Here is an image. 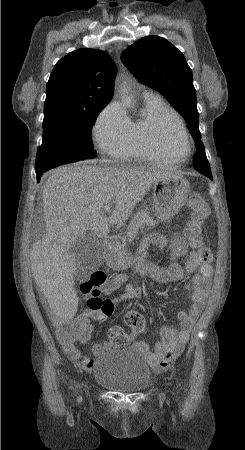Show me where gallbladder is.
<instances>
[{
  "mask_svg": "<svg viewBox=\"0 0 245 450\" xmlns=\"http://www.w3.org/2000/svg\"><path fill=\"white\" fill-rule=\"evenodd\" d=\"M70 251L75 257L76 278H80L87 270L99 267L105 255L104 245L91 234L83 235L74 241L70 247Z\"/></svg>",
  "mask_w": 245,
  "mask_h": 450,
  "instance_id": "1",
  "label": "gallbladder"
}]
</instances>
